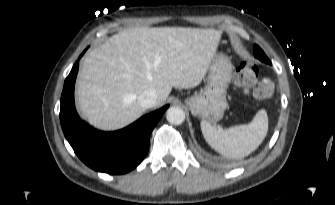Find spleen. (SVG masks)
Here are the masks:
<instances>
[{
    "label": "spleen",
    "mask_w": 335,
    "mask_h": 205,
    "mask_svg": "<svg viewBox=\"0 0 335 205\" xmlns=\"http://www.w3.org/2000/svg\"><path fill=\"white\" fill-rule=\"evenodd\" d=\"M201 131L206 142L215 151L227 158L241 159L255 151L263 142L268 131V116L261 109L249 124L225 130L202 120Z\"/></svg>",
    "instance_id": "obj_1"
}]
</instances>
